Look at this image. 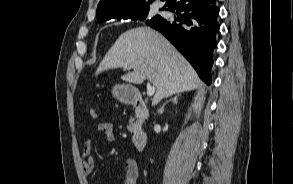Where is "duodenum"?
Returning <instances> with one entry per match:
<instances>
[{"label": "duodenum", "instance_id": "410a0bca", "mask_svg": "<svg viewBox=\"0 0 293 184\" xmlns=\"http://www.w3.org/2000/svg\"><path fill=\"white\" fill-rule=\"evenodd\" d=\"M130 101L135 108L136 115L139 119L147 118L149 109L145 99L139 93H134L130 97ZM132 142L134 147L141 151L147 143V133L142 128H137L132 135Z\"/></svg>", "mask_w": 293, "mask_h": 184}]
</instances>
